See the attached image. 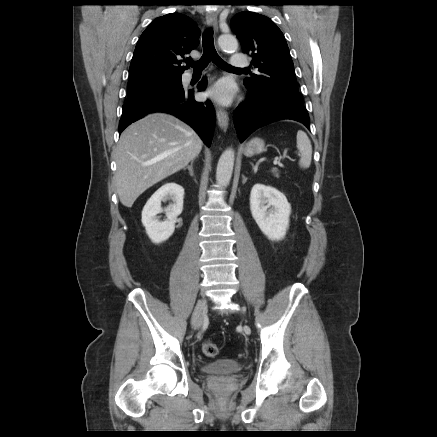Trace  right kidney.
Wrapping results in <instances>:
<instances>
[{"label":"right kidney","mask_w":437,"mask_h":437,"mask_svg":"<svg viewBox=\"0 0 437 437\" xmlns=\"http://www.w3.org/2000/svg\"><path fill=\"white\" fill-rule=\"evenodd\" d=\"M169 198L173 204L163 209L161 201ZM183 199V187L171 182L161 186L147 201L142 211V224L153 243H162L173 234L177 217L183 210ZM162 212H165L167 218L159 221L157 215Z\"/></svg>","instance_id":"ca27d5eb"}]
</instances>
